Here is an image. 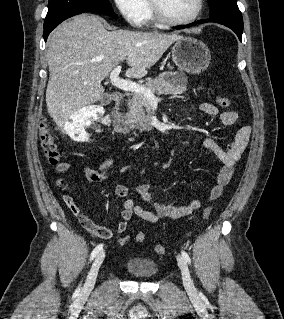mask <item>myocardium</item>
I'll list each match as a JSON object with an SVG mask.
<instances>
[{"instance_id": "myocardium-1", "label": "myocardium", "mask_w": 284, "mask_h": 319, "mask_svg": "<svg viewBox=\"0 0 284 319\" xmlns=\"http://www.w3.org/2000/svg\"><path fill=\"white\" fill-rule=\"evenodd\" d=\"M151 10L154 18L164 24L168 25H186L196 21L203 13L204 0H197V8L194 14L188 18L177 19L169 16L157 2V0H149Z\"/></svg>"}]
</instances>
